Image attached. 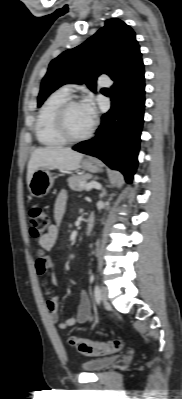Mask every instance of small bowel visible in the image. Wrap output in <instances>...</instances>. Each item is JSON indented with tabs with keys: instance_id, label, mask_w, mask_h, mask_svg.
Returning <instances> with one entry per match:
<instances>
[{
	"instance_id": "small-bowel-1",
	"label": "small bowel",
	"mask_w": 182,
	"mask_h": 399,
	"mask_svg": "<svg viewBox=\"0 0 182 399\" xmlns=\"http://www.w3.org/2000/svg\"><path fill=\"white\" fill-rule=\"evenodd\" d=\"M67 201V192H60L54 204L53 216L55 222L49 227L47 233L41 236L38 240L39 248L35 261V270L37 275L41 277L50 273L53 285H57L58 279L53 272V260L49 255V252L57 242L59 236V224L64 217ZM45 294L49 297L46 302L48 313L57 328L64 330L76 323H85L92 319L91 303L85 291L81 293L76 317L69 318L65 321L59 320V300L58 297L54 295L53 289L51 287L45 288Z\"/></svg>"
}]
</instances>
